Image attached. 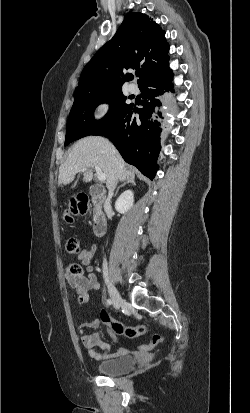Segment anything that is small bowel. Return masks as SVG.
I'll return each mask as SVG.
<instances>
[{"instance_id":"c3829d8e","label":"small bowel","mask_w":250,"mask_h":413,"mask_svg":"<svg viewBox=\"0 0 250 413\" xmlns=\"http://www.w3.org/2000/svg\"><path fill=\"white\" fill-rule=\"evenodd\" d=\"M94 253L95 247L93 245L89 248L82 249L78 254V262H70L65 268V278L74 293L80 295L82 305H86L89 302L88 292L90 290H98L100 287L91 265ZM74 266L81 267L83 273H73L72 269ZM84 269L87 271L86 276L84 275ZM99 325L100 320L95 318L81 323L78 327L80 339L83 346L87 349L89 356L95 360H108L126 354L128 350L124 347L117 349L115 352L108 351L109 344L102 340L100 334L97 332ZM87 329L92 330V332L87 333ZM109 334L112 340L116 342L117 337L111 329H109Z\"/></svg>"}]
</instances>
